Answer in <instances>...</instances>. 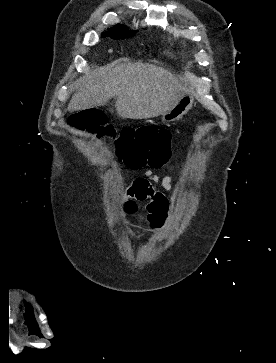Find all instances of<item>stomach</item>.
Returning <instances> with one entry per match:
<instances>
[{
    "mask_svg": "<svg viewBox=\"0 0 276 363\" xmlns=\"http://www.w3.org/2000/svg\"><path fill=\"white\" fill-rule=\"evenodd\" d=\"M193 97L189 94H184L173 107L162 114L163 122H172L180 119L192 107Z\"/></svg>",
    "mask_w": 276,
    "mask_h": 363,
    "instance_id": "obj_1",
    "label": "stomach"
}]
</instances>
